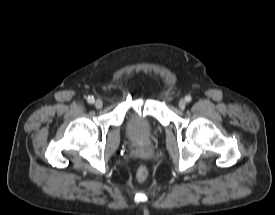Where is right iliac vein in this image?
I'll list each match as a JSON object with an SVG mask.
<instances>
[{
    "mask_svg": "<svg viewBox=\"0 0 275 215\" xmlns=\"http://www.w3.org/2000/svg\"><path fill=\"white\" fill-rule=\"evenodd\" d=\"M94 105H95V107H96L97 109H101V108L103 107V102H102V100L97 99V100L95 101Z\"/></svg>",
    "mask_w": 275,
    "mask_h": 215,
    "instance_id": "63e3f726",
    "label": "right iliac vein"
}]
</instances>
